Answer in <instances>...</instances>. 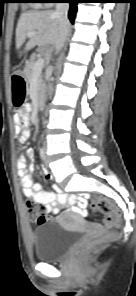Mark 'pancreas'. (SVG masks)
Returning <instances> with one entry per match:
<instances>
[{"mask_svg": "<svg viewBox=\"0 0 136 296\" xmlns=\"http://www.w3.org/2000/svg\"><path fill=\"white\" fill-rule=\"evenodd\" d=\"M35 63H36L35 60L31 59V61L26 64L24 72H25V77L28 83H31L34 78L33 69H34ZM42 91H43V80L40 74L37 76V92L38 94H40Z\"/></svg>", "mask_w": 136, "mask_h": 296, "instance_id": "1", "label": "pancreas"}]
</instances>
